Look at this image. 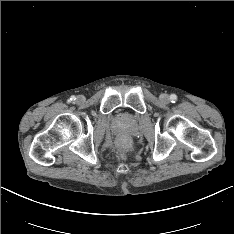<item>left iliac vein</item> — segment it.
I'll return each mask as SVG.
<instances>
[{
	"label": "left iliac vein",
	"instance_id": "obj_1",
	"mask_svg": "<svg viewBox=\"0 0 234 234\" xmlns=\"http://www.w3.org/2000/svg\"><path fill=\"white\" fill-rule=\"evenodd\" d=\"M160 100H161V102L167 104L170 99H169V96L167 94H161L160 95Z\"/></svg>",
	"mask_w": 234,
	"mask_h": 234
}]
</instances>
